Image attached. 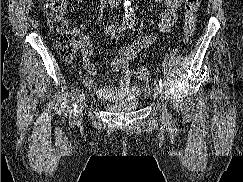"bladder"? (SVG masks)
<instances>
[{
  "instance_id": "obj_1",
  "label": "bladder",
  "mask_w": 243,
  "mask_h": 182,
  "mask_svg": "<svg viewBox=\"0 0 243 182\" xmlns=\"http://www.w3.org/2000/svg\"><path fill=\"white\" fill-rule=\"evenodd\" d=\"M107 112L113 114L132 113L139 109L140 100L136 96H128L116 102H107L103 105Z\"/></svg>"
}]
</instances>
